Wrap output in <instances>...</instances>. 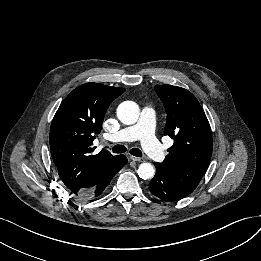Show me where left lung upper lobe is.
I'll return each mask as SVG.
<instances>
[{
	"instance_id": "left-lung-upper-lobe-1",
	"label": "left lung upper lobe",
	"mask_w": 261,
	"mask_h": 261,
	"mask_svg": "<svg viewBox=\"0 0 261 261\" xmlns=\"http://www.w3.org/2000/svg\"><path fill=\"white\" fill-rule=\"evenodd\" d=\"M167 112L164 135L174 139L162 167L182 190L191 193L206 172L212 155L208 119L195 96L181 87L156 85Z\"/></svg>"
}]
</instances>
